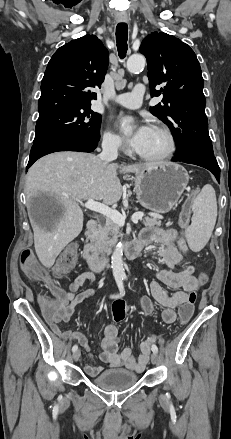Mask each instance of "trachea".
Here are the masks:
<instances>
[{
  "label": "trachea",
  "mask_w": 231,
  "mask_h": 439,
  "mask_svg": "<svg viewBox=\"0 0 231 439\" xmlns=\"http://www.w3.org/2000/svg\"><path fill=\"white\" fill-rule=\"evenodd\" d=\"M128 26L126 23H119L116 27V42L118 54L121 59L125 58L127 53Z\"/></svg>",
  "instance_id": "obj_1"
}]
</instances>
